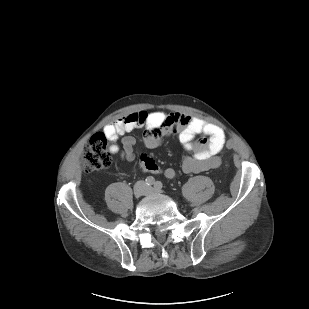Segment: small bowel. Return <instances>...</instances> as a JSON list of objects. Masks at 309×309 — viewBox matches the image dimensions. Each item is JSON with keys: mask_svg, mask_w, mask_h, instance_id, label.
Segmentation results:
<instances>
[{"mask_svg": "<svg viewBox=\"0 0 309 309\" xmlns=\"http://www.w3.org/2000/svg\"><path fill=\"white\" fill-rule=\"evenodd\" d=\"M144 128V144L148 148H156L163 138L176 134L182 146L192 152L183 159L181 169L185 173H198L217 168L221 164L220 152L224 148L225 133L219 126L206 122L201 118L179 112L164 113L141 110L133 112L113 123L107 124L104 134L111 142L110 152L132 162L135 159L133 147L136 143L129 132ZM122 136V148L117 140ZM196 136H201L195 140ZM141 167L145 172L163 173L167 178H174L173 168L161 169L150 157L142 156Z\"/></svg>", "mask_w": 309, "mask_h": 309, "instance_id": "c3829d8e", "label": "small bowel"}]
</instances>
